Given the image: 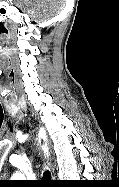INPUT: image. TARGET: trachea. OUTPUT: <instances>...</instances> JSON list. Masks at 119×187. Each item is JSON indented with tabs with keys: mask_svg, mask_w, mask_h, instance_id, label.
Here are the masks:
<instances>
[{
	"mask_svg": "<svg viewBox=\"0 0 119 187\" xmlns=\"http://www.w3.org/2000/svg\"><path fill=\"white\" fill-rule=\"evenodd\" d=\"M50 177V173L49 172H45L44 173V178H49Z\"/></svg>",
	"mask_w": 119,
	"mask_h": 187,
	"instance_id": "3493384b",
	"label": "trachea"
}]
</instances>
